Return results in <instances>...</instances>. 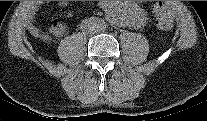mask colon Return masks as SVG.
I'll use <instances>...</instances> for the list:
<instances>
[{"label":"colon","instance_id":"obj_1","mask_svg":"<svg viewBox=\"0 0 207 121\" xmlns=\"http://www.w3.org/2000/svg\"><path fill=\"white\" fill-rule=\"evenodd\" d=\"M153 16L156 25L164 30L173 27V18L170 6L166 2H156L153 6Z\"/></svg>","mask_w":207,"mask_h":121}]
</instances>
